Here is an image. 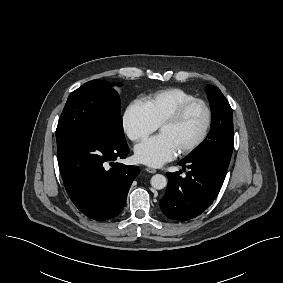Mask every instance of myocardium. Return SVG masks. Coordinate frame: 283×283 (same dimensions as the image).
<instances>
[{"label":"myocardium","mask_w":283,"mask_h":283,"mask_svg":"<svg viewBox=\"0 0 283 283\" xmlns=\"http://www.w3.org/2000/svg\"><path fill=\"white\" fill-rule=\"evenodd\" d=\"M196 105H200L205 111V115H206L205 125L201 134L196 140H194L193 142H191L190 144L186 145L185 147L179 150V154L181 155H186L195 151L198 147H200L204 143V141L208 137L213 121V114L210 105L201 98L191 99L183 103L181 106H179L170 116L165 118L159 124V129L163 126L178 125L185 118L189 110Z\"/></svg>","instance_id":"myocardium-1"}]
</instances>
